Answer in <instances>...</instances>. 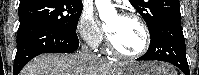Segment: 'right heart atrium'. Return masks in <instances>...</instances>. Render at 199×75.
<instances>
[{"label":"right heart atrium","instance_id":"d8ad5b80","mask_svg":"<svg viewBox=\"0 0 199 75\" xmlns=\"http://www.w3.org/2000/svg\"><path fill=\"white\" fill-rule=\"evenodd\" d=\"M77 33L82 42L91 48H97L103 40L100 26L90 11L82 13L78 22Z\"/></svg>","mask_w":199,"mask_h":75}]
</instances>
